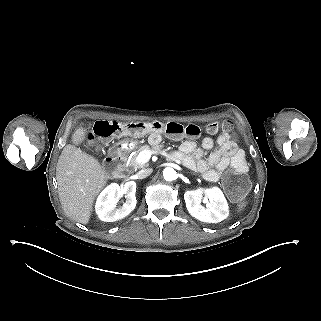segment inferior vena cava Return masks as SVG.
<instances>
[{
  "label": "inferior vena cava",
  "mask_w": 321,
  "mask_h": 321,
  "mask_svg": "<svg viewBox=\"0 0 321 321\" xmlns=\"http://www.w3.org/2000/svg\"><path fill=\"white\" fill-rule=\"evenodd\" d=\"M152 172H153L152 168H145V169L140 170L137 173V176L139 179H144V178L148 177L149 175H151Z\"/></svg>",
  "instance_id": "obj_1"
}]
</instances>
